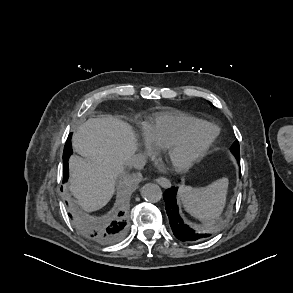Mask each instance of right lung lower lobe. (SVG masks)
<instances>
[{
  "mask_svg": "<svg viewBox=\"0 0 293 293\" xmlns=\"http://www.w3.org/2000/svg\"><path fill=\"white\" fill-rule=\"evenodd\" d=\"M71 154L72 148L70 134L63 152L64 182H67L69 177L68 160ZM123 214V212H120L117 217L99 225H94L82 220L80 221V226L93 241L100 244H112L121 240L127 231V221L125 217H123Z\"/></svg>",
  "mask_w": 293,
  "mask_h": 293,
  "instance_id": "right-lung-lower-lobe-1",
  "label": "right lung lower lobe"
}]
</instances>
